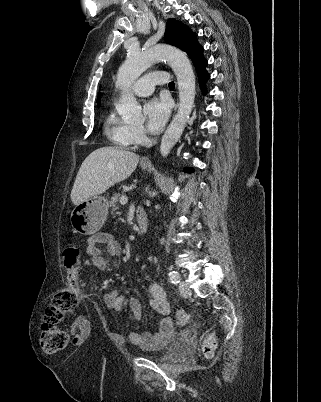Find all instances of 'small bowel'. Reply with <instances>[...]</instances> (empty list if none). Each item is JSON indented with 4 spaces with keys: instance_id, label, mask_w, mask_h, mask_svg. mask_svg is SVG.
Instances as JSON below:
<instances>
[{
    "instance_id": "small-bowel-1",
    "label": "small bowel",
    "mask_w": 321,
    "mask_h": 402,
    "mask_svg": "<svg viewBox=\"0 0 321 402\" xmlns=\"http://www.w3.org/2000/svg\"><path fill=\"white\" fill-rule=\"evenodd\" d=\"M104 244L107 245L108 253L111 256H119L122 251L120 243L112 234L97 233L93 235L87 243V254L90 257L92 267L101 271L109 268L107 260L102 255L101 245ZM116 267H119V264H116ZM148 291L150 295L149 307L163 318L159 323V330L156 333L135 331L129 334V340L143 349L156 348L170 341L174 336L173 322L168 317L170 308L164 290L158 283L153 282L149 285ZM124 299L122 289L111 290L104 296L106 306L116 312L122 310ZM130 308L135 319L140 321L143 317V312L141 303L136 297L130 298ZM70 332L73 335L74 344H79L87 337L89 325L84 318L77 317L70 326Z\"/></svg>"
}]
</instances>
